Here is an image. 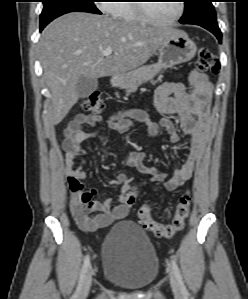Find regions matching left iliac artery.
Wrapping results in <instances>:
<instances>
[{"instance_id": "left-iliac-artery-1", "label": "left iliac artery", "mask_w": 248, "mask_h": 299, "mask_svg": "<svg viewBox=\"0 0 248 299\" xmlns=\"http://www.w3.org/2000/svg\"><path fill=\"white\" fill-rule=\"evenodd\" d=\"M171 264H172V269H173V271H174V273H175V275H176V277H177V279H178V282H179V284H180L181 292H182L184 295L188 294V291H187V289H186V287H185V285H184V282H183V279H182V276H181L179 267H178V265H177L175 259H172V260H171Z\"/></svg>"}]
</instances>
